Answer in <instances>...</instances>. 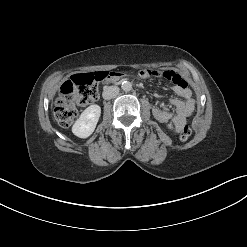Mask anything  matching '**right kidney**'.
I'll return each mask as SVG.
<instances>
[{"label":"right kidney","mask_w":247,"mask_h":247,"mask_svg":"<svg viewBox=\"0 0 247 247\" xmlns=\"http://www.w3.org/2000/svg\"><path fill=\"white\" fill-rule=\"evenodd\" d=\"M101 108L99 105H90L75 121L72 132L79 138L89 137L95 130L97 122L100 118Z\"/></svg>","instance_id":"obj_1"}]
</instances>
